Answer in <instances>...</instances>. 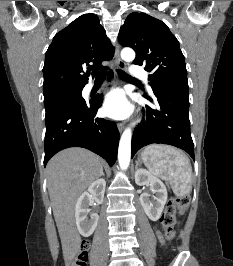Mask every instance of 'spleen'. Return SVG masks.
Wrapping results in <instances>:
<instances>
[{"label": "spleen", "instance_id": "3e777b00", "mask_svg": "<svg viewBox=\"0 0 233 266\" xmlns=\"http://www.w3.org/2000/svg\"><path fill=\"white\" fill-rule=\"evenodd\" d=\"M141 157L151 174L170 183L175 195L183 197L191 192V164L180 150L166 145H149Z\"/></svg>", "mask_w": 233, "mask_h": 266}]
</instances>
